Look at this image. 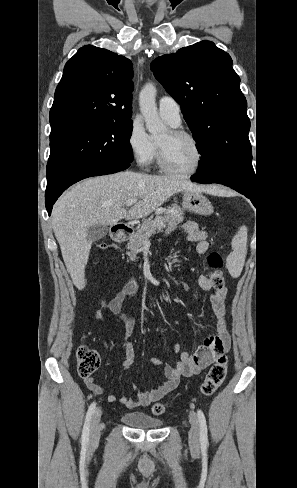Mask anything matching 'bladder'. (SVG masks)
I'll use <instances>...</instances> for the list:
<instances>
[{"label": "bladder", "instance_id": "obj_1", "mask_svg": "<svg viewBox=\"0 0 297 488\" xmlns=\"http://www.w3.org/2000/svg\"><path fill=\"white\" fill-rule=\"evenodd\" d=\"M122 422L135 429H158L162 427L161 420L143 412H128L121 416Z\"/></svg>", "mask_w": 297, "mask_h": 488}]
</instances>
